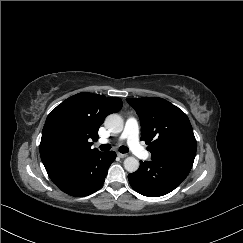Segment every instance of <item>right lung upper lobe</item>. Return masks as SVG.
I'll use <instances>...</instances> for the list:
<instances>
[{
  "label": "right lung upper lobe",
  "mask_w": 243,
  "mask_h": 243,
  "mask_svg": "<svg viewBox=\"0 0 243 243\" xmlns=\"http://www.w3.org/2000/svg\"><path fill=\"white\" fill-rule=\"evenodd\" d=\"M122 108L118 97L82 92L59 104L47 117L40 155L45 169L78 161L99 151L92 149L106 116Z\"/></svg>",
  "instance_id": "obj_1"
}]
</instances>
